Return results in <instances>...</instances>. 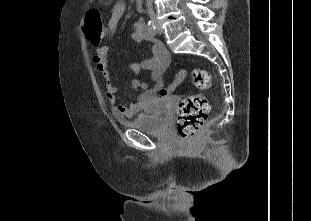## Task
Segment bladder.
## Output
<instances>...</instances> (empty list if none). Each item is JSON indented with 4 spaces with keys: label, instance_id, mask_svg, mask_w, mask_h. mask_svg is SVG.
Listing matches in <instances>:
<instances>
[{
    "label": "bladder",
    "instance_id": "31cf9c89",
    "mask_svg": "<svg viewBox=\"0 0 311 221\" xmlns=\"http://www.w3.org/2000/svg\"><path fill=\"white\" fill-rule=\"evenodd\" d=\"M176 99L177 97L173 94L166 98H159L153 108H146L145 112L137 113L125 125L143 134H165L170 125L169 112L172 108L171 102Z\"/></svg>",
    "mask_w": 311,
    "mask_h": 221
}]
</instances>
